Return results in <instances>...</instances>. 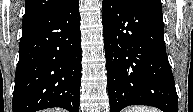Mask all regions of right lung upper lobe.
<instances>
[{
    "label": "right lung upper lobe",
    "instance_id": "cb5924a9",
    "mask_svg": "<svg viewBox=\"0 0 193 112\" xmlns=\"http://www.w3.org/2000/svg\"><path fill=\"white\" fill-rule=\"evenodd\" d=\"M68 0H26L22 24L36 20L62 6Z\"/></svg>",
    "mask_w": 193,
    "mask_h": 112
}]
</instances>
